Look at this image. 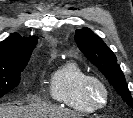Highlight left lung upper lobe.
I'll use <instances>...</instances> for the list:
<instances>
[{
    "mask_svg": "<svg viewBox=\"0 0 133 118\" xmlns=\"http://www.w3.org/2000/svg\"><path fill=\"white\" fill-rule=\"evenodd\" d=\"M75 41L80 51L104 74L122 99L133 108L128 85L112 50L89 28L76 30Z\"/></svg>",
    "mask_w": 133,
    "mask_h": 118,
    "instance_id": "5c2ea615",
    "label": "left lung upper lobe"
}]
</instances>
